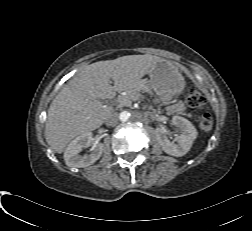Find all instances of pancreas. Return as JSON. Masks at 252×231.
I'll use <instances>...</instances> for the list:
<instances>
[{"instance_id": "cf45deb5", "label": "pancreas", "mask_w": 252, "mask_h": 231, "mask_svg": "<svg viewBox=\"0 0 252 231\" xmlns=\"http://www.w3.org/2000/svg\"><path fill=\"white\" fill-rule=\"evenodd\" d=\"M118 102H119V107H123V106H129L132 102V97L127 95V96H120L118 98Z\"/></svg>"}]
</instances>
